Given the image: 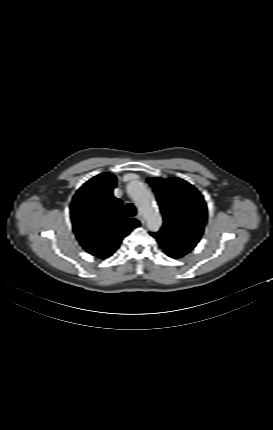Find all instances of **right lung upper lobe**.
I'll use <instances>...</instances> for the list:
<instances>
[{"instance_id":"1","label":"right lung upper lobe","mask_w":273,"mask_h":430,"mask_svg":"<svg viewBox=\"0 0 273 430\" xmlns=\"http://www.w3.org/2000/svg\"><path fill=\"white\" fill-rule=\"evenodd\" d=\"M116 177L101 173L76 192L70 211L74 233L82 247L99 258L111 256L140 222L123 216L122 202L113 196Z\"/></svg>"}]
</instances>
